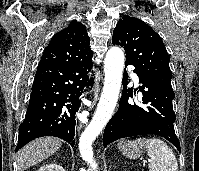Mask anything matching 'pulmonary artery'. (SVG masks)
I'll return each instance as SVG.
<instances>
[{
	"mask_svg": "<svg viewBox=\"0 0 199 171\" xmlns=\"http://www.w3.org/2000/svg\"><path fill=\"white\" fill-rule=\"evenodd\" d=\"M135 82H138V78L136 76L133 77Z\"/></svg>",
	"mask_w": 199,
	"mask_h": 171,
	"instance_id": "1",
	"label": "pulmonary artery"
}]
</instances>
